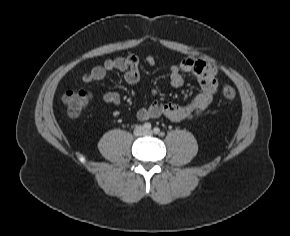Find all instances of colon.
<instances>
[{
  "instance_id": "colon-1",
  "label": "colon",
  "mask_w": 290,
  "mask_h": 236,
  "mask_svg": "<svg viewBox=\"0 0 290 236\" xmlns=\"http://www.w3.org/2000/svg\"><path fill=\"white\" fill-rule=\"evenodd\" d=\"M222 96L226 100H233L236 96V91L233 87L225 85L222 88ZM90 99L91 94L85 89L68 90L62 97V101L71 117L79 116L88 106Z\"/></svg>"
}]
</instances>
